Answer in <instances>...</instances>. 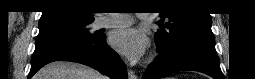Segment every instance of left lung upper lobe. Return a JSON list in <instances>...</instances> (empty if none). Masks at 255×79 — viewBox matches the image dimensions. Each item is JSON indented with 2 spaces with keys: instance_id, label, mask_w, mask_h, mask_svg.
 Returning <instances> with one entry per match:
<instances>
[{
  "instance_id": "1",
  "label": "left lung upper lobe",
  "mask_w": 255,
  "mask_h": 79,
  "mask_svg": "<svg viewBox=\"0 0 255 79\" xmlns=\"http://www.w3.org/2000/svg\"><path fill=\"white\" fill-rule=\"evenodd\" d=\"M157 3L163 10L161 16L168 19L167 22H159L161 29L155 34L158 50L165 51L186 37L213 36L209 14L201 11L181 12L175 7L176 3L170 0H161Z\"/></svg>"
}]
</instances>
